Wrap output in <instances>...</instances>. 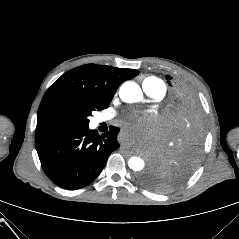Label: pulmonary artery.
Returning <instances> with one entry per match:
<instances>
[{"instance_id": "1", "label": "pulmonary artery", "mask_w": 239, "mask_h": 239, "mask_svg": "<svg viewBox=\"0 0 239 239\" xmlns=\"http://www.w3.org/2000/svg\"><path fill=\"white\" fill-rule=\"evenodd\" d=\"M142 87L144 92L155 101L162 100L166 93V86L161 80L145 82ZM111 118V114H105L101 117V120L105 121Z\"/></svg>"}]
</instances>
